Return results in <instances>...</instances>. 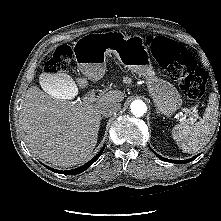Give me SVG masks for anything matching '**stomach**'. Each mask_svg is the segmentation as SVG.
I'll return each mask as SVG.
<instances>
[{
  "instance_id": "1",
  "label": "stomach",
  "mask_w": 221,
  "mask_h": 221,
  "mask_svg": "<svg viewBox=\"0 0 221 221\" xmlns=\"http://www.w3.org/2000/svg\"><path fill=\"white\" fill-rule=\"evenodd\" d=\"M81 41L86 45L77 55L76 62L84 75L94 80L102 78L107 56L113 53L125 68L146 80L159 112L169 116L181 107L182 99L176 88L156 75L143 37L110 31L88 35Z\"/></svg>"
}]
</instances>
